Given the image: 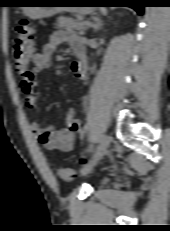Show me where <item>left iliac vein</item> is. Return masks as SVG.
Masks as SVG:
<instances>
[{"label": "left iliac vein", "instance_id": "1", "mask_svg": "<svg viewBox=\"0 0 170 231\" xmlns=\"http://www.w3.org/2000/svg\"><path fill=\"white\" fill-rule=\"evenodd\" d=\"M112 138L109 135H104L100 141V144L97 148L96 153L94 154L93 160L87 164L86 166H84L81 170V173L83 175L88 174L92 168L94 167V165L98 162L99 159H101L107 152L110 144H111Z\"/></svg>", "mask_w": 170, "mask_h": 231}]
</instances>
